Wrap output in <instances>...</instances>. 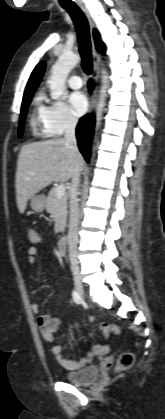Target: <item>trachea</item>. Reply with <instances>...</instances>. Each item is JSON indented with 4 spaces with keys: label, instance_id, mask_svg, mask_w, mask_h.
<instances>
[{
    "label": "trachea",
    "instance_id": "trachea-1",
    "mask_svg": "<svg viewBox=\"0 0 165 419\" xmlns=\"http://www.w3.org/2000/svg\"><path fill=\"white\" fill-rule=\"evenodd\" d=\"M70 14L77 31L79 51L82 58V68L86 74L92 72L91 43L89 35V25L82 10L74 6H63Z\"/></svg>",
    "mask_w": 165,
    "mask_h": 419
}]
</instances>
